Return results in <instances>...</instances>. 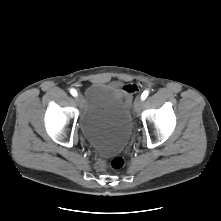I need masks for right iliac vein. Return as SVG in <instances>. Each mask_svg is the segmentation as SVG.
I'll use <instances>...</instances> for the list:
<instances>
[{
    "label": "right iliac vein",
    "mask_w": 221,
    "mask_h": 221,
    "mask_svg": "<svg viewBox=\"0 0 221 221\" xmlns=\"http://www.w3.org/2000/svg\"><path fill=\"white\" fill-rule=\"evenodd\" d=\"M75 100H76V102L78 103V105H79L80 107H82V105H83V97H82V95H81V94H78V95L76 96Z\"/></svg>",
    "instance_id": "1"
}]
</instances>
